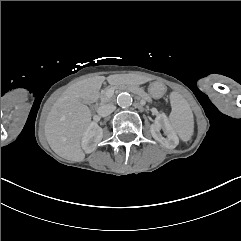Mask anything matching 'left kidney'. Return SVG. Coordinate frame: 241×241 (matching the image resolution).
Returning a JSON list of instances; mask_svg holds the SVG:
<instances>
[{
  "label": "left kidney",
  "mask_w": 241,
  "mask_h": 241,
  "mask_svg": "<svg viewBox=\"0 0 241 241\" xmlns=\"http://www.w3.org/2000/svg\"><path fill=\"white\" fill-rule=\"evenodd\" d=\"M161 130L164 135L161 134ZM152 137L161 143L165 148L174 149L178 144V138L173 132L164 114L156 116L150 127Z\"/></svg>",
  "instance_id": "5707ae66"
}]
</instances>
